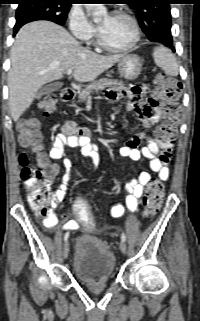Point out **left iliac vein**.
Wrapping results in <instances>:
<instances>
[{"label":"left iliac vein","mask_w":200,"mask_h":321,"mask_svg":"<svg viewBox=\"0 0 200 321\" xmlns=\"http://www.w3.org/2000/svg\"><path fill=\"white\" fill-rule=\"evenodd\" d=\"M126 249H127V246H126V243L125 242H121L120 243V250L125 253L126 252Z\"/></svg>","instance_id":"1"}]
</instances>
